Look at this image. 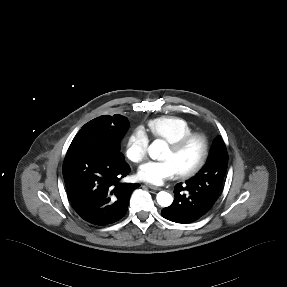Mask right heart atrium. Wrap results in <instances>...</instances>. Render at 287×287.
<instances>
[{
  "mask_svg": "<svg viewBox=\"0 0 287 287\" xmlns=\"http://www.w3.org/2000/svg\"><path fill=\"white\" fill-rule=\"evenodd\" d=\"M149 141L141 128H135L128 136L125 144L126 157L139 163L147 157Z\"/></svg>",
  "mask_w": 287,
  "mask_h": 287,
  "instance_id": "1",
  "label": "right heart atrium"
}]
</instances>
